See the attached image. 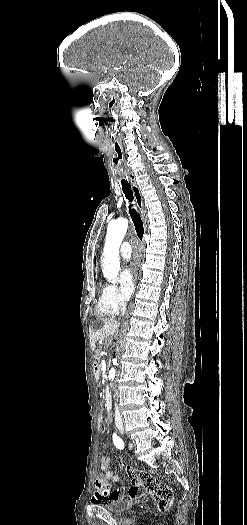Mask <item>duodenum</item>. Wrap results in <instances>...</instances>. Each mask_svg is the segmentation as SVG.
<instances>
[{"label":"duodenum","instance_id":"410a0bca","mask_svg":"<svg viewBox=\"0 0 247 525\" xmlns=\"http://www.w3.org/2000/svg\"><path fill=\"white\" fill-rule=\"evenodd\" d=\"M93 371H94V375H95L96 377H99V375H100V367H99V365H98L97 363H95V364L93 365ZM104 398H105V401H106L107 407H108L109 409H111V407H112V401H111V395H110V392H109V391L106 390V391L104 392Z\"/></svg>","mask_w":247,"mask_h":525}]
</instances>
